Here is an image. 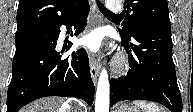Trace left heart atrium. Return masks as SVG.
Wrapping results in <instances>:
<instances>
[{"instance_id":"39dd6f15","label":"left heart atrium","mask_w":193,"mask_h":112,"mask_svg":"<svg viewBox=\"0 0 193 112\" xmlns=\"http://www.w3.org/2000/svg\"><path fill=\"white\" fill-rule=\"evenodd\" d=\"M102 38L103 35L100 30H93L81 35L78 44L86 50L96 53L101 48Z\"/></svg>"}]
</instances>
